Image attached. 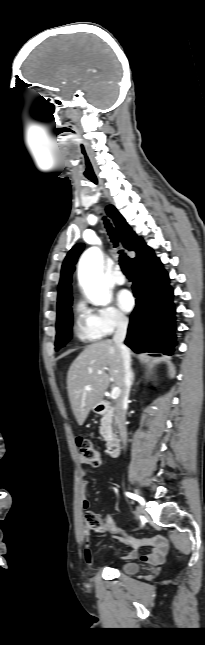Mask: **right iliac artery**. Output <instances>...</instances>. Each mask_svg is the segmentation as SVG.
<instances>
[{
    "label": "right iliac artery",
    "mask_w": 205,
    "mask_h": 645,
    "mask_svg": "<svg viewBox=\"0 0 205 645\" xmlns=\"http://www.w3.org/2000/svg\"><path fill=\"white\" fill-rule=\"evenodd\" d=\"M126 495L128 497H130L131 499H134V500L138 501L140 504H144V500H143L142 497H140V496H138L136 494H133V493H129V492H127Z\"/></svg>",
    "instance_id": "82829eb1"
}]
</instances>
